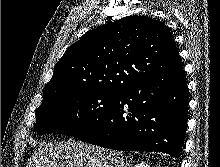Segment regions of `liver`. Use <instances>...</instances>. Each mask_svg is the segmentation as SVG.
<instances>
[{"label": "liver", "instance_id": "liver-1", "mask_svg": "<svg viewBox=\"0 0 220 167\" xmlns=\"http://www.w3.org/2000/svg\"><path fill=\"white\" fill-rule=\"evenodd\" d=\"M26 167H126L123 154L82 142L40 143Z\"/></svg>", "mask_w": 220, "mask_h": 167}]
</instances>
